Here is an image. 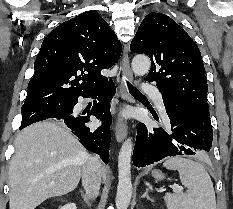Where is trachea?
Listing matches in <instances>:
<instances>
[{
    "instance_id": "1",
    "label": "trachea",
    "mask_w": 233,
    "mask_h": 209,
    "mask_svg": "<svg viewBox=\"0 0 233 209\" xmlns=\"http://www.w3.org/2000/svg\"><path fill=\"white\" fill-rule=\"evenodd\" d=\"M127 86L131 94L143 96V94L129 82H127Z\"/></svg>"
}]
</instances>
